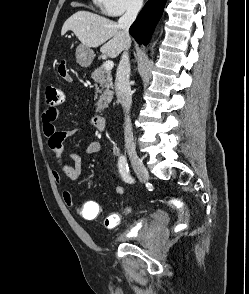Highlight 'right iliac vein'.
<instances>
[{"mask_svg": "<svg viewBox=\"0 0 249 294\" xmlns=\"http://www.w3.org/2000/svg\"><path fill=\"white\" fill-rule=\"evenodd\" d=\"M129 158L132 164V167L136 173V175L141 179L142 181H147L149 179V173L143 164L140 157L137 155V153L134 150L129 151Z\"/></svg>", "mask_w": 249, "mask_h": 294, "instance_id": "right-iliac-vein-1", "label": "right iliac vein"}]
</instances>
